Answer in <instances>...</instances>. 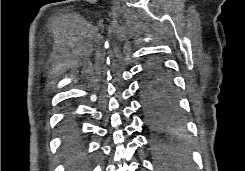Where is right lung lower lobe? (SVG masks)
Masks as SVG:
<instances>
[{
    "label": "right lung lower lobe",
    "mask_w": 245,
    "mask_h": 171,
    "mask_svg": "<svg viewBox=\"0 0 245 171\" xmlns=\"http://www.w3.org/2000/svg\"><path fill=\"white\" fill-rule=\"evenodd\" d=\"M61 130L63 133L65 152H74L81 145L82 139L77 120L71 111L67 113V116L63 120Z\"/></svg>",
    "instance_id": "obj_1"
}]
</instances>
